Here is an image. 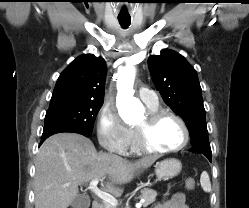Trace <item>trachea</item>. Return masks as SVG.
Listing matches in <instances>:
<instances>
[{"label":"trachea","mask_w":249,"mask_h":208,"mask_svg":"<svg viewBox=\"0 0 249 208\" xmlns=\"http://www.w3.org/2000/svg\"><path fill=\"white\" fill-rule=\"evenodd\" d=\"M119 23L123 28H127L130 25L131 20H129V19H119Z\"/></svg>","instance_id":"1"}]
</instances>
